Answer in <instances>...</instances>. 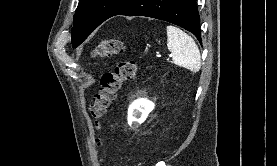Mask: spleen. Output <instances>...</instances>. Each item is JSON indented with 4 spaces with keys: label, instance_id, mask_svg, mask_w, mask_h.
I'll list each match as a JSON object with an SVG mask.
<instances>
[{
    "label": "spleen",
    "instance_id": "obj_1",
    "mask_svg": "<svg viewBox=\"0 0 277 166\" xmlns=\"http://www.w3.org/2000/svg\"><path fill=\"white\" fill-rule=\"evenodd\" d=\"M167 47L177 66L198 72L201 68V55L195 41L187 33L175 26H167Z\"/></svg>",
    "mask_w": 277,
    "mask_h": 166
}]
</instances>
